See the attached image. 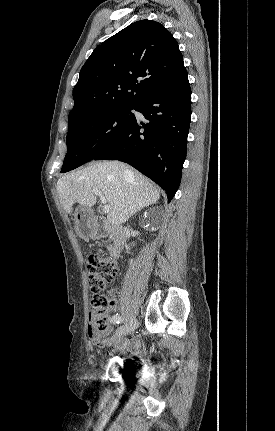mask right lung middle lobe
I'll use <instances>...</instances> for the list:
<instances>
[{
    "label": "right lung middle lobe",
    "instance_id": "1",
    "mask_svg": "<svg viewBox=\"0 0 275 431\" xmlns=\"http://www.w3.org/2000/svg\"><path fill=\"white\" fill-rule=\"evenodd\" d=\"M136 106L118 105L87 114L72 123L66 137L67 154L61 172L93 160L109 147L135 120Z\"/></svg>",
    "mask_w": 275,
    "mask_h": 431
}]
</instances>
